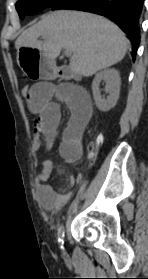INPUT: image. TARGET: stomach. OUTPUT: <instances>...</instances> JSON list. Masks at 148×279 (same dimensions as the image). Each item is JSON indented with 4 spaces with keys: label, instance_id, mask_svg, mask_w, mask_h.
<instances>
[{
    "label": "stomach",
    "instance_id": "obj_1",
    "mask_svg": "<svg viewBox=\"0 0 148 279\" xmlns=\"http://www.w3.org/2000/svg\"><path fill=\"white\" fill-rule=\"evenodd\" d=\"M25 48V47H24ZM16 50L15 59L27 82H57L55 62L44 50Z\"/></svg>",
    "mask_w": 148,
    "mask_h": 279
}]
</instances>
